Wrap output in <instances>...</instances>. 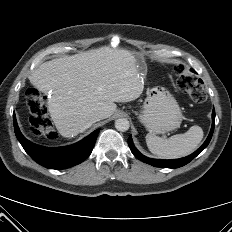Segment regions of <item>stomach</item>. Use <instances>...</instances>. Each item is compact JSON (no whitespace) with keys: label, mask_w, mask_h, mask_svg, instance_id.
Masks as SVG:
<instances>
[{"label":"stomach","mask_w":232,"mask_h":232,"mask_svg":"<svg viewBox=\"0 0 232 232\" xmlns=\"http://www.w3.org/2000/svg\"><path fill=\"white\" fill-rule=\"evenodd\" d=\"M144 65L142 58L138 60ZM183 115L172 94L164 88L151 89L145 99L139 121L153 134H163L178 128Z\"/></svg>","instance_id":"0dacf381"}]
</instances>
